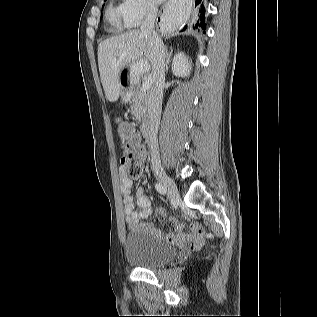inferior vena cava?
<instances>
[{
    "mask_svg": "<svg viewBox=\"0 0 317 317\" xmlns=\"http://www.w3.org/2000/svg\"><path fill=\"white\" fill-rule=\"evenodd\" d=\"M158 8L154 4L147 6V16L142 22L141 33L144 34L153 47V84L148 93V145L151 148V161L153 168L160 166V157L158 151L157 132L160 123L162 110L163 88L165 85L166 71V54L162 40L154 31L155 20L157 17Z\"/></svg>",
    "mask_w": 317,
    "mask_h": 317,
    "instance_id": "obj_1",
    "label": "inferior vena cava"
}]
</instances>
